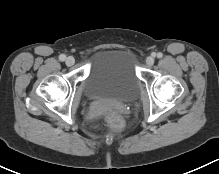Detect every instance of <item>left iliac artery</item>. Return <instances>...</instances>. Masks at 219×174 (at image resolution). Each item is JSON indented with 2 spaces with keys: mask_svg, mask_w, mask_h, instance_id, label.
Returning a JSON list of instances; mask_svg holds the SVG:
<instances>
[{
  "mask_svg": "<svg viewBox=\"0 0 219 174\" xmlns=\"http://www.w3.org/2000/svg\"><path fill=\"white\" fill-rule=\"evenodd\" d=\"M163 56V54L161 52L157 53V57L161 58Z\"/></svg>",
  "mask_w": 219,
  "mask_h": 174,
  "instance_id": "obj_1",
  "label": "left iliac artery"
}]
</instances>
